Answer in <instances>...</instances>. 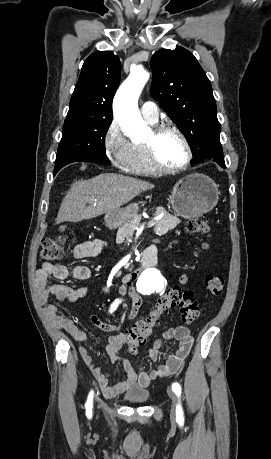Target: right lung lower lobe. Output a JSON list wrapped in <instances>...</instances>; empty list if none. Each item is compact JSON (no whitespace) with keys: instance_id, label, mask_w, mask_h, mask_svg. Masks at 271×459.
I'll return each instance as SVG.
<instances>
[{"instance_id":"1","label":"right lung lower lobe","mask_w":271,"mask_h":459,"mask_svg":"<svg viewBox=\"0 0 271 459\" xmlns=\"http://www.w3.org/2000/svg\"><path fill=\"white\" fill-rule=\"evenodd\" d=\"M77 161L101 163V162H99V161H96V160H93V159H90V158H75V159H70V160L64 161V162H62V163H60V164L55 165L54 175H55L62 167H64L65 165H67V164H69V163H72V162H77Z\"/></svg>"}]
</instances>
